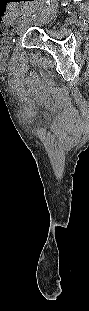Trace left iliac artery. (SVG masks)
I'll return each mask as SVG.
<instances>
[{
  "instance_id": "obj_1",
  "label": "left iliac artery",
  "mask_w": 89,
  "mask_h": 311,
  "mask_svg": "<svg viewBox=\"0 0 89 311\" xmlns=\"http://www.w3.org/2000/svg\"><path fill=\"white\" fill-rule=\"evenodd\" d=\"M25 19H26V17H25V15L21 18V22H25Z\"/></svg>"
}]
</instances>
